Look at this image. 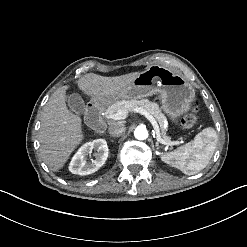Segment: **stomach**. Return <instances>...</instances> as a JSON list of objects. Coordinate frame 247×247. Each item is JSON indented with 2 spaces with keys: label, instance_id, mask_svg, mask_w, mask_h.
Here are the masks:
<instances>
[{
  "label": "stomach",
  "instance_id": "obj_1",
  "mask_svg": "<svg viewBox=\"0 0 247 247\" xmlns=\"http://www.w3.org/2000/svg\"><path fill=\"white\" fill-rule=\"evenodd\" d=\"M159 94L162 109L174 121L188 112L195 99V89L180 73L158 65H150L141 72L131 86L117 95H105L100 100L91 98L90 103L99 108L113 104L117 99H141Z\"/></svg>",
  "mask_w": 247,
  "mask_h": 247
}]
</instances>
